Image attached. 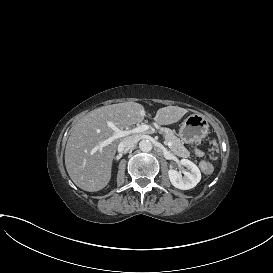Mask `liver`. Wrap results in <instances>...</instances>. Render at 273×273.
I'll list each match as a JSON object with an SVG mask.
<instances>
[{
    "instance_id": "liver-1",
    "label": "liver",
    "mask_w": 273,
    "mask_h": 273,
    "mask_svg": "<svg viewBox=\"0 0 273 273\" xmlns=\"http://www.w3.org/2000/svg\"><path fill=\"white\" fill-rule=\"evenodd\" d=\"M187 109L177 106L160 108L154 120L160 125L178 122ZM144 107L135 102H124L92 110L74 127L65 149V165L72 181L81 189L95 192L103 189L111 178L112 160L123 138L96 149L100 142L114 135V124L124 129L142 122Z\"/></svg>"
}]
</instances>
